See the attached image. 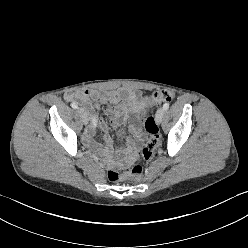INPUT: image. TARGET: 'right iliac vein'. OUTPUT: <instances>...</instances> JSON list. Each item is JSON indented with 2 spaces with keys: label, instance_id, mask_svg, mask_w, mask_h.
Listing matches in <instances>:
<instances>
[{
  "label": "right iliac vein",
  "instance_id": "63e3f726",
  "mask_svg": "<svg viewBox=\"0 0 248 248\" xmlns=\"http://www.w3.org/2000/svg\"><path fill=\"white\" fill-rule=\"evenodd\" d=\"M78 112L82 118L83 123L87 125L89 122V114L87 113V111L84 108H79Z\"/></svg>",
  "mask_w": 248,
  "mask_h": 248
}]
</instances>
